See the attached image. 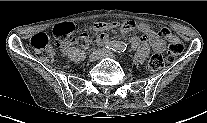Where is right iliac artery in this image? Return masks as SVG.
<instances>
[{"label":"right iliac artery","mask_w":207,"mask_h":123,"mask_svg":"<svg viewBox=\"0 0 207 123\" xmlns=\"http://www.w3.org/2000/svg\"><path fill=\"white\" fill-rule=\"evenodd\" d=\"M118 45H122V46H125V44L124 43H118V42H114V43H106L105 45H104V48L105 49H115Z\"/></svg>","instance_id":"obj_1"}]
</instances>
